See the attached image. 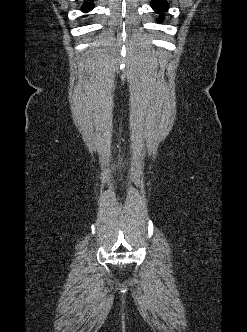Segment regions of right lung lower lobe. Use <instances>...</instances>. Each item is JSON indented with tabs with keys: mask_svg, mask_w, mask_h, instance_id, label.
<instances>
[{
	"mask_svg": "<svg viewBox=\"0 0 247 332\" xmlns=\"http://www.w3.org/2000/svg\"><path fill=\"white\" fill-rule=\"evenodd\" d=\"M90 1H92V0H90ZM93 8H94V4L91 2H88V0L87 1L85 0L83 6L81 7V10L83 12L87 13L90 10H92Z\"/></svg>",
	"mask_w": 247,
	"mask_h": 332,
	"instance_id": "98d812e1",
	"label": "right lung lower lobe"
}]
</instances>
